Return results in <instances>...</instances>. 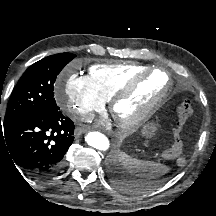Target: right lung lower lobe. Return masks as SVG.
I'll return each mask as SVG.
<instances>
[{
    "label": "right lung lower lobe",
    "instance_id": "1",
    "mask_svg": "<svg viewBox=\"0 0 216 216\" xmlns=\"http://www.w3.org/2000/svg\"><path fill=\"white\" fill-rule=\"evenodd\" d=\"M74 123L57 111L30 114L0 124V151L38 178L51 177L64 166Z\"/></svg>",
    "mask_w": 216,
    "mask_h": 216
}]
</instances>
